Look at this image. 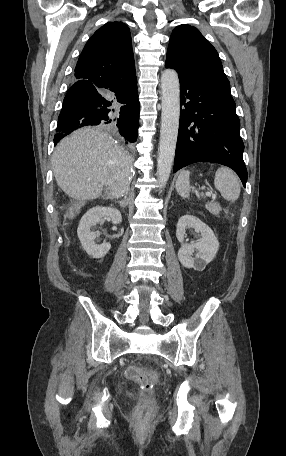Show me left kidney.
I'll return each instance as SVG.
<instances>
[{"instance_id": "obj_1", "label": "left kidney", "mask_w": 286, "mask_h": 456, "mask_svg": "<svg viewBox=\"0 0 286 456\" xmlns=\"http://www.w3.org/2000/svg\"><path fill=\"white\" fill-rule=\"evenodd\" d=\"M193 228L197 233L201 234V239L195 243H184V235L186 229ZM176 236L181 243V248L178 251V259L186 268L195 270H203L208 263L215 257L219 242L213 231L203 223L200 219L192 215L182 216L177 223ZM196 256L193 257L194 252Z\"/></svg>"}]
</instances>
